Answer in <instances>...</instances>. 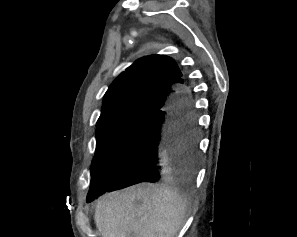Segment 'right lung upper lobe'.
Masks as SVG:
<instances>
[{
    "mask_svg": "<svg viewBox=\"0 0 297 237\" xmlns=\"http://www.w3.org/2000/svg\"><path fill=\"white\" fill-rule=\"evenodd\" d=\"M182 87V73L171 57L140 58L109 86L96 125L130 115L151 116L164 109L171 95Z\"/></svg>",
    "mask_w": 297,
    "mask_h": 237,
    "instance_id": "1",
    "label": "right lung upper lobe"
}]
</instances>
